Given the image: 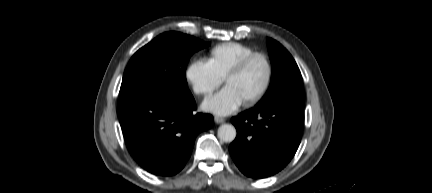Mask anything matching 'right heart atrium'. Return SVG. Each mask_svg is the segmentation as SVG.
Here are the masks:
<instances>
[{
  "label": "right heart atrium",
  "mask_w": 432,
  "mask_h": 193,
  "mask_svg": "<svg viewBox=\"0 0 432 193\" xmlns=\"http://www.w3.org/2000/svg\"><path fill=\"white\" fill-rule=\"evenodd\" d=\"M186 78L195 94L209 97L219 87L221 79L210 69L207 62L191 63L186 71Z\"/></svg>",
  "instance_id": "right-heart-atrium-1"
}]
</instances>
